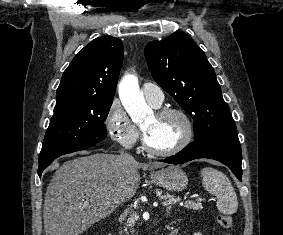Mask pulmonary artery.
Listing matches in <instances>:
<instances>
[{"mask_svg": "<svg viewBox=\"0 0 283 235\" xmlns=\"http://www.w3.org/2000/svg\"><path fill=\"white\" fill-rule=\"evenodd\" d=\"M142 93L146 100L154 107H159L164 99L162 89L153 83L146 82L141 87Z\"/></svg>", "mask_w": 283, "mask_h": 235, "instance_id": "obj_1", "label": "pulmonary artery"}]
</instances>
